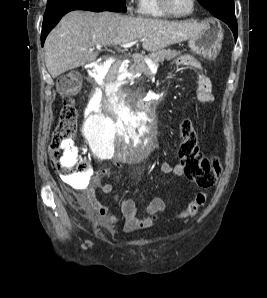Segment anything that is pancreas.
I'll return each mask as SVG.
<instances>
[{
	"label": "pancreas",
	"instance_id": "cf45deb5",
	"mask_svg": "<svg viewBox=\"0 0 267 298\" xmlns=\"http://www.w3.org/2000/svg\"><path fill=\"white\" fill-rule=\"evenodd\" d=\"M180 52L171 49H160L149 54L145 58H149L155 63L163 62L165 59L170 60L171 58L177 56ZM144 57L136 56L134 57V63L130 66L129 71L132 73L142 72L145 75H150V70L147 64L145 63Z\"/></svg>",
	"mask_w": 267,
	"mask_h": 298
}]
</instances>
